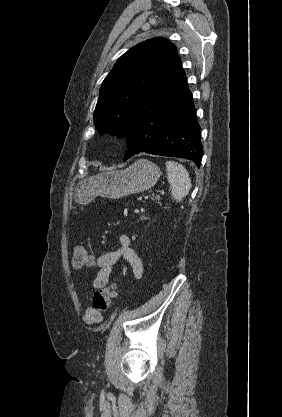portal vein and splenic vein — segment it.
<instances>
[{
  "mask_svg": "<svg viewBox=\"0 0 282 417\" xmlns=\"http://www.w3.org/2000/svg\"><path fill=\"white\" fill-rule=\"evenodd\" d=\"M151 196H153V193H151V192H148L147 194H144L142 197H141V200L142 201H145V200H147L149 197H151Z\"/></svg>",
  "mask_w": 282,
  "mask_h": 417,
  "instance_id": "18ae733b",
  "label": "portal vein and splenic vein"
}]
</instances>
